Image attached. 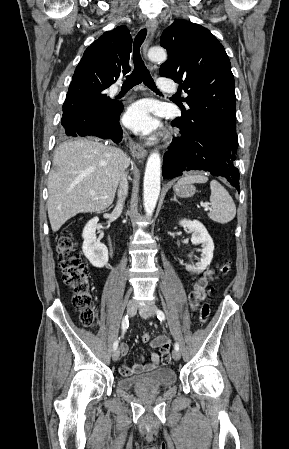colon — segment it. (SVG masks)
<instances>
[{
    "label": "colon",
    "instance_id": "5ec220e1",
    "mask_svg": "<svg viewBox=\"0 0 289 449\" xmlns=\"http://www.w3.org/2000/svg\"><path fill=\"white\" fill-rule=\"evenodd\" d=\"M57 255L64 282L72 290L73 305L80 313V321L84 326H91L95 318V310L89 292V274L80 259L71 230L67 229L62 232L57 244ZM230 269L231 263L227 261L220 267L219 272L222 276H225ZM210 312L209 303H203L199 310V320L202 324L207 322ZM149 339L148 333L142 335L143 342H147Z\"/></svg>",
    "mask_w": 289,
    "mask_h": 449
}]
</instances>
